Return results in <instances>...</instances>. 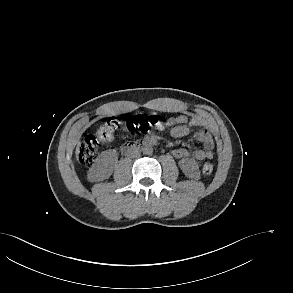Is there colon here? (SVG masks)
Listing matches in <instances>:
<instances>
[{
  "label": "colon",
  "instance_id": "obj_1",
  "mask_svg": "<svg viewBox=\"0 0 293 293\" xmlns=\"http://www.w3.org/2000/svg\"><path fill=\"white\" fill-rule=\"evenodd\" d=\"M161 124L159 116L154 114H136L126 120L124 128L127 132L139 135L153 128H157ZM120 121L116 118L105 119L96 134H88L83 139L79 147V158L84 164H90L97 157L100 145L104 142L113 140V133L118 129ZM213 165L206 163L202 167V172L206 175L211 174Z\"/></svg>",
  "mask_w": 293,
  "mask_h": 293
}]
</instances>
